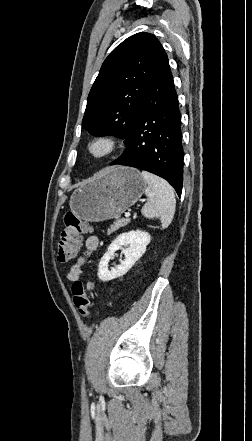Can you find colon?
<instances>
[{"label":"colon","instance_id":"1","mask_svg":"<svg viewBox=\"0 0 252 441\" xmlns=\"http://www.w3.org/2000/svg\"><path fill=\"white\" fill-rule=\"evenodd\" d=\"M89 232H91V226L88 222L79 219L72 213H67L64 216V229L58 242V261L62 263L70 261L81 244L82 236ZM72 295L73 303L77 310L83 316H87L90 299L82 281H74Z\"/></svg>","mask_w":252,"mask_h":441}]
</instances>
